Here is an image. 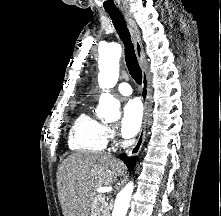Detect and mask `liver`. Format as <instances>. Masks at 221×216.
<instances>
[{
	"label": "liver",
	"instance_id": "1",
	"mask_svg": "<svg viewBox=\"0 0 221 216\" xmlns=\"http://www.w3.org/2000/svg\"><path fill=\"white\" fill-rule=\"evenodd\" d=\"M125 165L101 153H74L58 169V197L64 216H88L96 190L116 181Z\"/></svg>",
	"mask_w": 221,
	"mask_h": 216
}]
</instances>
